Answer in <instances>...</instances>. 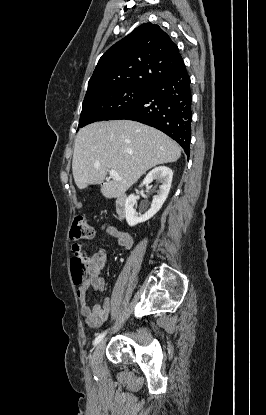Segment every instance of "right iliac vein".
Returning <instances> with one entry per match:
<instances>
[{"label": "right iliac vein", "mask_w": 266, "mask_h": 415, "mask_svg": "<svg viewBox=\"0 0 266 415\" xmlns=\"http://www.w3.org/2000/svg\"><path fill=\"white\" fill-rule=\"evenodd\" d=\"M105 348V341H101L92 356V367L94 370H100L102 366L103 353Z\"/></svg>", "instance_id": "63e3f726"}]
</instances>
